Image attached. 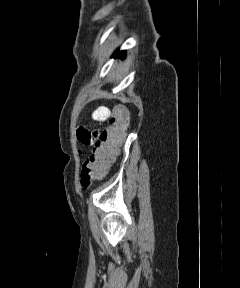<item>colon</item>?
<instances>
[{"instance_id": "colon-1", "label": "colon", "mask_w": 240, "mask_h": 288, "mask_svg": "<svg viewBox=\"0 0 240 288\" xmlns=\"http://www.w3.org/2000/svg\"><path fill=\"white\" fill-rule=\"evenodd\" d=\"M109 121V127L102 131L92 153L82 166L81 184L85 188L105 175L107 168L118 154L129 124L128 111L122 106H117Z\"/></svg>"}]
</instances>
